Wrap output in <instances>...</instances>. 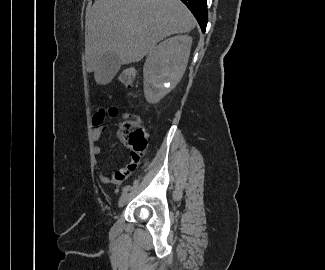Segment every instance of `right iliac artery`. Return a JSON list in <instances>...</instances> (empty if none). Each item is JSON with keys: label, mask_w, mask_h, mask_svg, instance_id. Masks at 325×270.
Returning <instances> with one entry per match:
<instances>
[{"label": "right iliac artery", "mask_w": 325, "mask_h": 270, "mask_svg": "<svg viewBox=\"0 0 325 270\" xmlns=\"http://www.w3.org/2000/svg\"><path fill=\"white\" fill-rule=\"evenodd\" d=\"M130 188H131L130 185H126V186L123 187L122 191L125 193V192L129 191Z\"/></svg>", "instance_id": "right-iliac-artery-1"}]
</instances>
